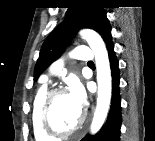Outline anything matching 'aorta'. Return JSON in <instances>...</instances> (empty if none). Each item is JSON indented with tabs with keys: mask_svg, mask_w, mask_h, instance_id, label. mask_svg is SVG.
I'll return each mask as SVG.
<instances>
[{
	"mask_svg": "<svg viewBox=\"0 0 155 141\" xmlns=\"http://www.w3.org/2000/svg\"><path fill=\"white\" fill-rule=\"evenodd\" d=\"M95 55L98 83V97L94 117L91 124V134L97 133L105 122L111 101L112 79L108 52L104 41L98 33L85 29L80 32Z\"/></svg>",
	"mask_w": 155,
	"mask_h": 141,
	"instance_id": "762f6f07",
	"label": "aorta"
}]
</instances>
